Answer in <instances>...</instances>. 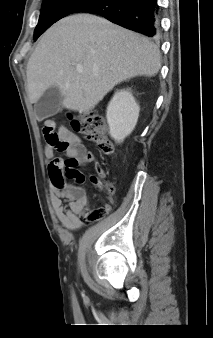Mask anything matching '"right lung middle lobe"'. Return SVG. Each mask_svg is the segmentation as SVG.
Instances as JSON below:
<instances>
[{"instance_id": "dd1d6c3e", "label": "right lung middle lobe", "mask_w": 213, "mask_h": 338, "mask_svg": "<svg viewBox=\"0 0 213 338\" xmlns=\"http://www.w3.org/2000/svg\"><path fill=\"white\" fill-rule=\"evenodd\" d=\"M92 0H44L38 24L34 31L36 40L46 29L61 18L74 13Z\"/></svg>"}]
</instances>
